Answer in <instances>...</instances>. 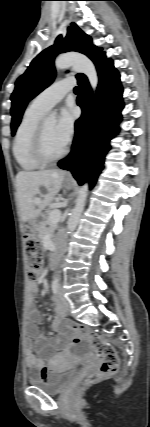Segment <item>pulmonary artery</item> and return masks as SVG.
<instances>
[{
  "mask_svg": "<svg viewBox=\"0 0 150 427\" xmlns=\"http://www.w3.org/2000/svg\"><path fill=\"white\" fill-rule=\"evenodd\" d=\"M74 86L75 80L73 78L58 81L35 97L30 106L45 114L59 103Z\"/></svg>",
  "mask_w": 150,
  "mask_h": 427,
  "instance_id": "e3ab8cb5",
  "label": "pulmonary artery"
}]
</instances>
